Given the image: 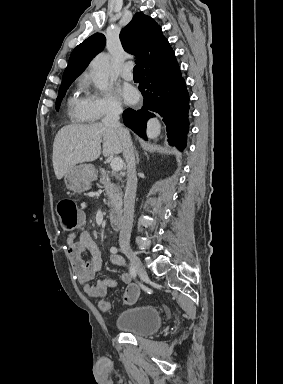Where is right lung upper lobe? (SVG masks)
<instances>
[{"instance_id": "obj_1", "label": "right lung upper lobe", "mask_w": 283, "mask_h": 384, "mask_svg": "<svg viewBox=\"0 0 283 384\" xmlns=\"http://www.w3.org/2000/svg\"><path fill=\"white\" fill-rule=\"evenodd\" d=\"M120 39L125 51L138 56L141 76L165 70L176 62L175 54L160 26L149 16L138 12L122 29ZM105 36L95 33L71 53L62 84L73 82L88 66L91 59L105 46Z\"/></svg>"}]
</instances>
